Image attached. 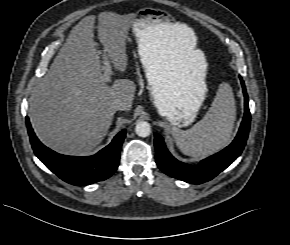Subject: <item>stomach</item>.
<instances>
[{
    "label": "stomach",
    "instance_id": "obj_1",
    "mask_svg": "<svg viewBox=\"0 0 290 245\" xmlns=\"http://www.w3.org/2000/svg\"><path fill=\"white\" fill-rule=\"evenodd\" d=\"M168 24L164 13L146 8L132 28L154 104L172 126L182 128L194 122L206 97L207 65L202 53L189 66L179 62L165 37Z\"/></svg>",
    "mask_w": 290,
    "mask_h": 245
}]
</instances>
